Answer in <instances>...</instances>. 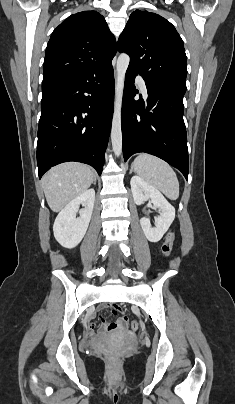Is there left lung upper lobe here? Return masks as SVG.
<instances>
[{
  "instance_id": "obj_1",
  "label": "left lung upper lobe",
  "mask_w": 235,
  "mask_h": 404,
  "mask_svg": "<svg viewBox=\"0 0 235 404\" xmlns=\"http://www.w3.org/2000/svg\"><path fill=\"white\" fill-rule=\"evenodd\" d=\"M119 52L130 56L128 69L151 84L185 94L186 54L175 27L165 18L136 10L118 40Z\"/></svg>"
}]
</instances>
